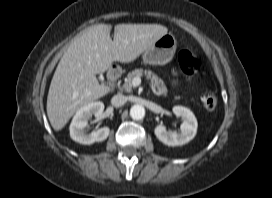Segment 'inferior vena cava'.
<instances>
[{"label": "inferior vena cava", "instance_id": "1", "mask_svg": "<svg viewBox=\"0 0 272 198\" xmlns=\"http://www.w3.org/2000/svg\"><path fill=\"white\" fill-rule=\"evenodd\" d=\"M127 102V98L122 94L114 95L111 99V104L114 107H121Z\"/></svg>", "mask_w": 272, "mask_h": 198}]
</instances>
